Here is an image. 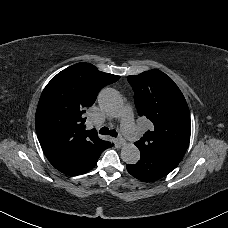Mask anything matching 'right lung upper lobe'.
Wrapping results in <instances>:
<instances>
[{"mask_svg": "<svg viewBox=\"0 0 228 228\" xmlns=\"http://www.w3.org/2000/svg\"><path fill=\"white\" fill-rule=\"evenodd\" d=\"M119 78L82 62L64 69L47 84L38 103L35 126L43 152L55 168L86 149L104 144L94 129L86 130L83 114L99 91Z\"/></svg>", "mask_w": 228, "mask_h": 228, "instance_id": "obj_1", "label": "right lung upper lobe"}]
</instances>
